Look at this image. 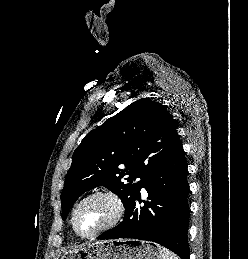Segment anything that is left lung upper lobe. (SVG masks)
<instances>
[{"label": "left lung upper lobe", "instance_id": "left-lung-upper-lobe-1", "mask_svg": "<svg viewBox=\"0 0 248 259\" xmlns=\"http://www.w3.org/2000/svg\"><path fill=\"white\" fill-rule=\"evenodd\" d=\"M180 145L164 105L149 98L133 102L91 130L75 150L61 194L63 220L80 195L100 185L117 194L127 210L150 174ZM121 164L126 168L119 169ZM136 178L141 180L135 183Z\"/></svg>", "mask_w": 248, "mask_h": 259}]
</instances>
